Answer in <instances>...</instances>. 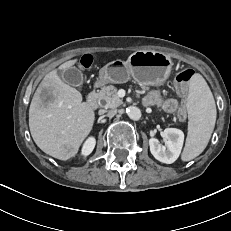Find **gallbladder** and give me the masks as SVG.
<instances>
[{
	"mask_svg": "<svg viewBox=\"0 0 231 231\" xmlns=\"http://www.w3.org/2000/svg\"><path fill=\"white\" fill-rule=\"evenodd\" d=\"M62 80L71 86H80L83 82V75L81 71L75 67L63 70L61 73Z\"/></svg>",
	"mask_w": 231,
	"mask_h": 231,
	"instance_id": "obj_1",
	"label": "gallbladder"
}]
</instances>
